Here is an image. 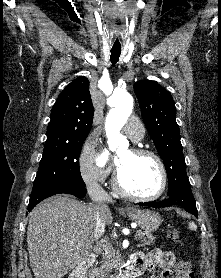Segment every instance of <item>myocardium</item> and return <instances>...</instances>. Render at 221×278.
<instances>
[{"instance_id":"myocardium-1","label":"myocardium","mask_w":221,"mask_h":278,"mask_svg":"<svg viewBox=\"0 0 221 278\" xmlns=\"http://www.w3.org/2000/svg\"><path fill=\"white\" fill-rule=\"evenodd\" d=\"M131 153H133L136 156H148L153 158L161 173V184L159 190L151 195H143V194H137L131 191L122 181V176L119 168L116 169L115 171V177H114V185L115 188L124 196L133 199V200H138V201H154L159 199L166 191L167 185H168V173L165 167V164L161 157L156 154L155 152L145 149V148H132Z\"/></svg>"}]
</instances>
